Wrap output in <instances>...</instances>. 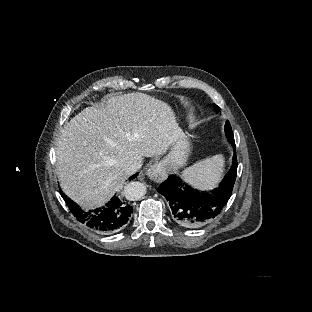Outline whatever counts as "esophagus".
Masks as SVG:
<instances>
[{"label":"esophagus","instance_id":"1","mask_svg":"<svg viewBox=\"0 0 312 312\" xmlns=\"http://www.w3.org/2000/svg\"><path fill=\"white\" fill-rule=\"evenodd\" d=\"M146 175L149 179L159 183L167 178L166 168L162 163L152 165L147 171Z\"/></svg>","mask_w":312,"mask_h":312}]
</instances>
